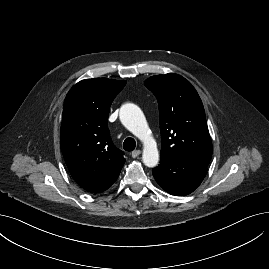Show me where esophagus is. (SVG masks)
<instances>
[{
  "mask_svg": "<svg viewBox=\"0 0 269 269\" xmlns=\"http://www.w3.org/2000/svg\"><path fill=\"white\" fill-rule=\"evenodd\" d=\"M140 154H141V151H140V150H135V151H133V152L131 153V156H132L133 158H136V157H138Z\"/></svg>",
  "mask_w": 269,
  "mask_h": 269,
  "instance_id": "obj_1",
  "label": "esophagus"
}]
</instances>
